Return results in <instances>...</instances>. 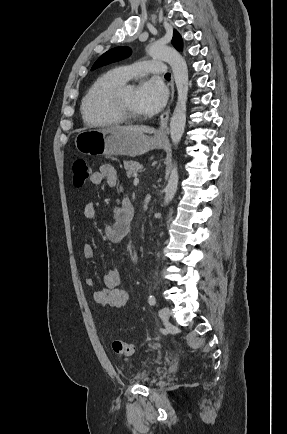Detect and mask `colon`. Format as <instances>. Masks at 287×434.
<instances>
[{
    "mask_svg": "<svg viewBox=\"0 0 287 434\" xmlns=\"http://www.w3.org/2000/svg\"><path fill=\"white\" fill-rule=\"evenodd\" d=\"M72 171L73 185L75 187H82L90 175L86 161L82 159L75 160L72 165ZM111 347L116 354L123 356H132L135 352V347L132 344L121 340H113Z\"/></svg>",
    "mask_w": 287,
    "mask_h": 434,
    "instance_id": "obj_1",
    "label": "colon"
}]
</instances>
